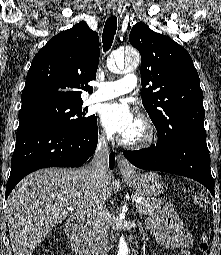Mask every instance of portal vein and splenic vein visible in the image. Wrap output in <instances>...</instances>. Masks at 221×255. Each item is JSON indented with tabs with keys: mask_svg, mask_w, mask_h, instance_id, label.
<instances>
[{
	"mask_svg": "<svg viewBox=\"0 0 221 255\" xmlns=\"http://www.w3.org/2000/svg\"><path fill=\"white\" fill-rule=\"evenodd\" d=\"M140 202V199H136V203H139Z\"/></svg>",
	"mask_w": 221,
	"mask_h": 255,
	"instance_id": "1",
	"label": "portal vein and splenic vein"
}]
</instances>
